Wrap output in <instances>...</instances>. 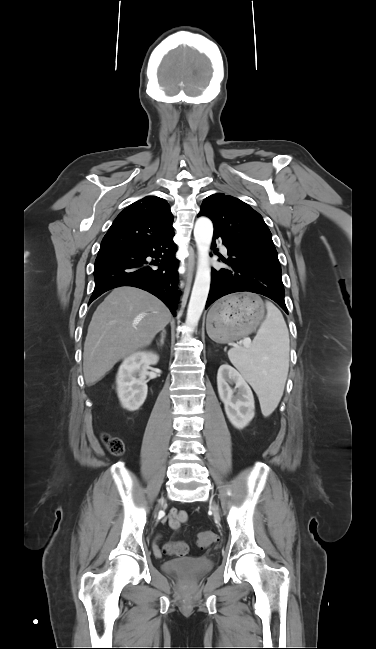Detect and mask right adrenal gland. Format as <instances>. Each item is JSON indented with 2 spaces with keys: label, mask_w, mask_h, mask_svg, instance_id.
I'll return each instance as SVG.
<instances>
[{
  "label": "right adrenal gland",
  "mask_w": 376,
  "mask_h": 649,
  "mask_svg": "<svg viewBox=\"0 0 376 649\" xmlns=\"http://www.w3.org/2000/svg\"><path fill=\"white\" fill-rule=\"evenodd\" d=\"M165 337H166V331L163 329V330H162V333H161V339H160V341L157 343L158 346L162 347V346L164 345Z\"/></svg>",
  "instance_id": "right-adrenal-gland-1"
}]
</instances>
